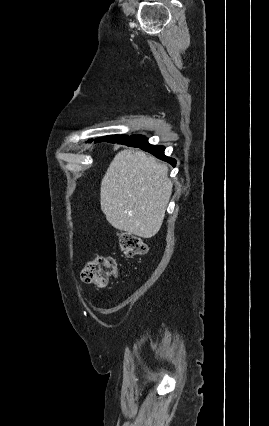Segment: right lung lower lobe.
Wrapping results in <instances>:
<instances>
[{"label":"right lung lower lobe","mask_w":269,"mask_h":426,"mask_svg":"<svg viewBox=\"0 0 269 426\" xmlns=\"http://www.w3.org/2000/svg\"><path fill=\"white\" fill-rule=\"evenodd\" d=\"M106 142L123 144L131 147L140 148L146 152H149L157 158L170 163L175 166L176 162L174 159L164 155V147L158 145H151L148 143L147 138L142 135H132L123 140H108Z\"/></svg>","instance_id":"1"}]
</instances>
